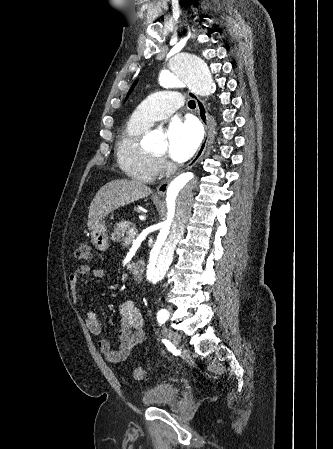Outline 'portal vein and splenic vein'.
<instances>
[{
  "label": "portal vein and splenic vein",
  "instance_id": "1",
  "mask_svg": "<svg viewBox=\"0 0 333 449\" xmlns=\"http://www.w3.org/2000/svg\"><path fill=\"white\" fill-rule=\"evenodd\" d=\"M129 235L132 236V237H135L136 236V231L134 229H130L129 230Z\"/></svg>",
  "mask_w": 333,
  "mask_h": 449
}]
</instances>
